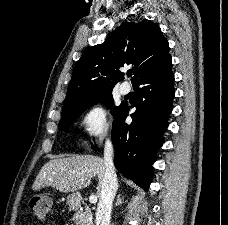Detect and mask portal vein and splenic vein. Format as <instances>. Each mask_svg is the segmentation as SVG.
Returning a JSON list of instances; mask_svg holds the SVG:
<instances>
[{"mask_svg":"<svg viewBox=\"0 0 228 225\" xmlns=\"http://www.w3.org/2000/svg\"><path fill=\"white\" fill-rule=\"evenodd\" d=\"M80 181H84V179H80ZM90 203H97V197H90Z\"/></svg>","mask_w":228,"mask_h":225,"instance_id":"1","label":"portal vein and splenic vein"}]
</instances>
